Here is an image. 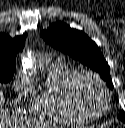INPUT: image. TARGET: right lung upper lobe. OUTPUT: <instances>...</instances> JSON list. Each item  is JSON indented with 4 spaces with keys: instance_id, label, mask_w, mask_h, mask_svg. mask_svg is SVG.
<instances>
[{
    "instance_id": "cb5924a9",
    "label": "right lung upper lobe",
    "mask_w": 125,
    "mask_h": 128,
    "mask_svg": "<svg viewBox=\"0 0 125 128\" xmlns=\"http://www.w3.org/2000/svg\"><path fill=\"white\" fill-rule=\"evenodd\" d=\"M27 34L11 38L0 33V66L15 67L17 52L24 48Z\"/></svg>"
}]
</instances>
